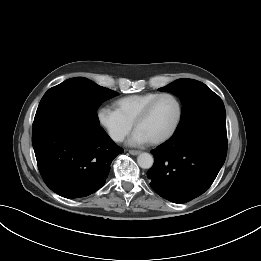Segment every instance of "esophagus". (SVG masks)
Wrapping results in <instances>:
<instances>
[{"label":"esophagus","mask_w":261,"mask_h":261,"mask_svg":"<svg viewBox=\"0 0 261 261\" xmlns=\"http://www.w3.org/2000/svg\"><path fill=\"white\" fill-rule=\"evenodd\" d=\"M129 153H130L131 155H138V154H140L141 152L138 151V150H129Z\"/></svg>","instance_id":"esophagus-1"}]
</instances>
